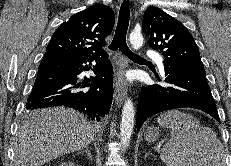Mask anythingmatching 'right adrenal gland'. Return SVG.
Instances as JSON below:
<instances>
[{
  "label": "right adrenal gland",
  "instance_id": "1",
  "mask_svg": "<svg viewBox=\"0 0 231 166\" xmlns=\"http://www.w3.org/2000/svg\"><path fill=\"white\" fill-rule=\"evenodd\" d=\"M83 152H86V154L92 159L91 153L89 151V147H85V149H83Z\"/></svg>",
  "mask_w": 231,
  "mask_h": 166
}]
</instances>
